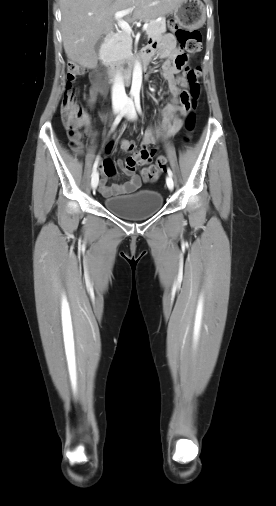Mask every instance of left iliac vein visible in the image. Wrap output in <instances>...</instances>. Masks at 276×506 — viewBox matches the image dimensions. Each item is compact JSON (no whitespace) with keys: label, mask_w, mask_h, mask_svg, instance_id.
Returning a JSON list of instances; mask_svg holds the SVG:
<instances>
[{"label":"left iliac vein","mask_w":276,"mask_h":506,"mask_svg":"<svg viewBox=\"0 0 276 506\" xmlns=\"http://www.w3.org/2000/svg\"><path fill=\"white\" fill-rule=\"evenodd\" d=\"M125 113H126V116L128 119H130V120L136 119V110H135V107H134V104L132 101L129 103L128 109ZM166 183H167L168 188L170 190H172L174 187V182H173V179L171 176H168L166 178Z\"/></svg>","instance_id":"left-iliac-vein-1"}]
</instances>
